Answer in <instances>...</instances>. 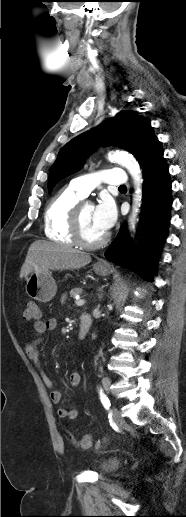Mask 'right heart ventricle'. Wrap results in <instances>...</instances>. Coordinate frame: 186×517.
<instances>
[{
	"mask_svg": "<svg viewBox=\"0 0 186 517\" xmlns=\"http://www.w3.org/2000/svg\"><path fill=\"white\" fill-rule=\"evenodd\" d=\"M84 197L70 185L60 189L49 201L44 213V232L52 241L75 245L71 217L75 205Z\"/></svg>",
	"mask_w": 186,
	"mask_h": 517,
	"instance_id": "obj_1",
	"label": "right heart ventricle"
}]
</instances>
